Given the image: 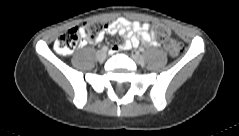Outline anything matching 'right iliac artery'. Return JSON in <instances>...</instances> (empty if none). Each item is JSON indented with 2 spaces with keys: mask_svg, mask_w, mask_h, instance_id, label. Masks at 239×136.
Listing matches in <instances>:
<instances>
[{
  "mask_svg": "<svg viewBox=\"0 0 239 136\" xmlns=\"http://www.w3.org/2000/svg\"><path fill=\"white\" fill-rule=\"evenodd\" d=\"M102 50L107 51V50H108V47H107V46H103V47H102Z\"/></svg>",
  "mask_w": 239,
  "mask_h": 136,
  "instance_id": "1",
  "label": "right iliac artery"
}]
</instances>
